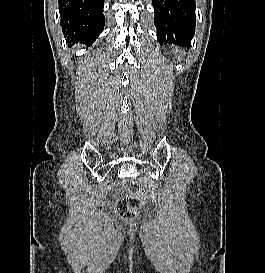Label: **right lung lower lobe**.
I'll use <instances>...</instances> for the list:
<instances>
[{
  "label": "right lung lower lobe",
  "instance_id": "1",
  "mask_svg": "<svg viewBox=\"0 0 265 273\" xmlns=\"http://www.w3.org/2000/svg\"><path fill=\"white\" fill-rule=\"evenodd\" d=\"M63 34L69 43L92 44L103 31V0H59Z\"/></svg>",
  "mask_w": 265,
  "mask_h": 273
}]
</instances>
